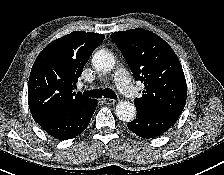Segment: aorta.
I'll return each instance as SVG.
<instances>
[{
  "mask_svg": "<svg viewBox=\"0 0 224 175\" xmlns=\"http://www.w3.org/2000/svg\"><path fill=\"white\" fill-rule=\"evenodd\" d=\"M114 62L113 54L110 51L103 49L97 51L92 58L93 66L101 72L111 71L114 67ZM115 113L120 120L130 122L134 120L136 116V108L131 102L120 101L116 105Z\"/></svg>",
  "mask_w": 224,
  "mask_h": 175,
  "instance_id": "762f6f07",
  "label": "aorta"
}]
</instances>
